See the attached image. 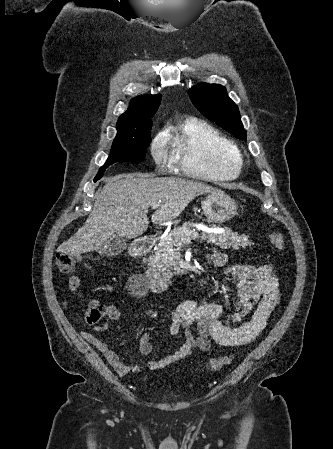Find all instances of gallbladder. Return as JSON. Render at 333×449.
Masks as SVG:
<instances>
[{"label": "gallbladder", "mask_w": 333, "mask_h": 449, "mask_svg": "<svg viewBox=\"0 0 333 449\" xmlns=\"http://www.w3.org/2000/svg\"><path fill=\"white\" fill-rule=\"evenodd\" d=\"M127 247L126 241L119 237L115 236L113 239H111L108 242H105L98 250L97 252L100 255H118L122 253Z\"/></svg>", "instance_id": "1"}]
</instances>
